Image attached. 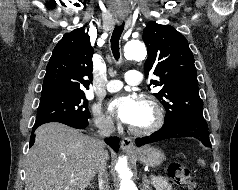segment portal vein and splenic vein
<instances>
[{"instance_id":"portal-vein-and-splenic-vein-1","label":"portal vein and splenic vein","mask_w":238,"mask_h":190,"mask_svg":"<svg viewBox=\"0 0 238 190\" xmlns=\"http://www.w3.org/2000/svg\"><path fill=\"white\" fill-rule=\"evenodd\" d=\"M155 179V176H151V180H154Z\"/></svg>"}]
</instances>
